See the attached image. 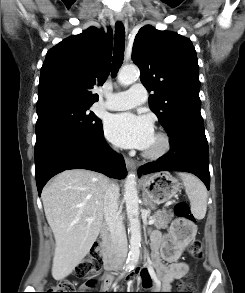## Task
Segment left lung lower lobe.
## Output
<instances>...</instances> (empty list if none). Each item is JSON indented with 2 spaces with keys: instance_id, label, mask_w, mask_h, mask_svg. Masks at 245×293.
Here are the masks:
<instances>
[{
  "instance_id": "1",
  "label": "left lung lower lobe",
  "mask_w": 245,
  "mask_h": 293,
  "mask_svg": "<svg viewBox=\"0 0 245 293\" xmlns=\"http://www.w3.org/2000/svg\"><path fill=\"white\" fill-rule=\"evenodd\" d=\"M168 135L170 151L155 162L140 166L138 175L164 170L184 171L195 174L209 189V153L204 129L182 126Z\"/></svg>"
}]
</instances>
